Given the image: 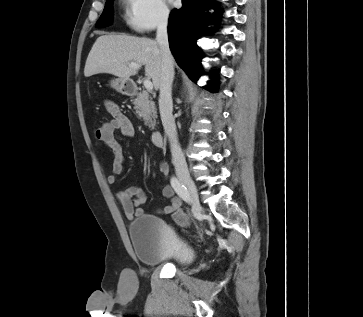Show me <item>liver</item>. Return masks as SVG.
<instances>
[{"mask_svg":"<svg viewBox=\"0 0 363 317\" xmlns=\"http://www.w3.org/2000/svg\"><path fill=\"white\" fill-rule=\"evenodd\" d=\"M129 63L145 66V75L159 88L162 56L157 41L128 35H102L95 41L84 68V76L108 73L128 80L137 74Z\"/></svg>","mask_w":363,"mask_h":317,"instance_id":"obj_1","label":"liver"}]
</instances>
